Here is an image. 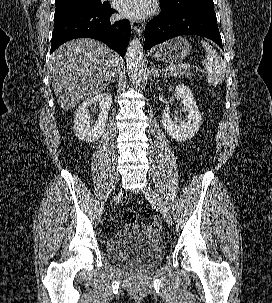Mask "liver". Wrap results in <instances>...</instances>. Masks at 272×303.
<instances>
[{
	"label": "liver",
	"mask_w": 272,
	"mask_h": 303,
	"mask_svg": "<svg viewBox=\"0 0 272 303\" xmlns=\"http://www.w3.org/2000/svg\"><path fill=\"white\" fill-rule=\"evenodd\" d=\"M119 56L104 43L82 38L64 43L49 61L52 86L64 110L102 92L116 72Z\"/></svg>",
	"instance_id": "1"
}]
</instances>
